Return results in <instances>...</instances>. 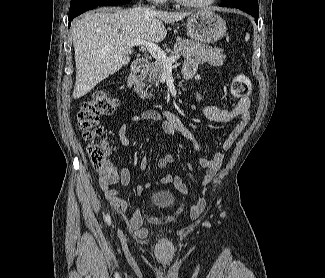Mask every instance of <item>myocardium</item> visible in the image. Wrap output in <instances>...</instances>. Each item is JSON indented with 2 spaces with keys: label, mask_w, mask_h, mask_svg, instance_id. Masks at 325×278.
<instances>
[{
  "label": "myocardium",
  "mask_w": 325,
  "mask_h": 278,
  "mask_svg": "<svg viewBox=\"0 0 325 278\" xmlns=\"http://www.w3.org/2000/svg\"><path fill=\"white\" fill-rule=\"evenodd\" d=\"M180 5L192 8H206L212 5L216 0L192 1V0H175Z\"/></svg>",
  "instance_id": "1"
}]
</instances>
